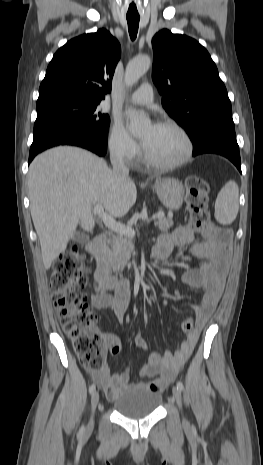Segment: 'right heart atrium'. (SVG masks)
Listing matches in <instances>:
<instances>
[{
  "label": "right heart atrium",
  "mask_w": 263,
  "mask_h": 465,
  "mask_svg": "<svg viewBox=\"0 0 263 465\" xmlns=\"http://www.w3.org/2000/svg\"><path fill=\"white\" fill-rule=\"evenodd\" d=\"M107 145L113 157L125 162H134L140 155L138 143L119 121H114L110 126Z\"/></svg>",
  "instance_id": "right-heart-atrium-1"
}]
</instances>
